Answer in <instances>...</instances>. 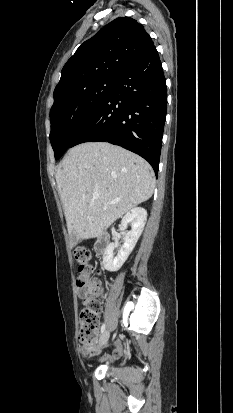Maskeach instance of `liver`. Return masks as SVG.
Listing matches in <instances>:
<instances>
[{"label":"liver","mask_w":233,"mask_h":413,"mask_svg":"<svg viewBox=\"0 0 233 413\" xmlns=\"http://www.w3.org/2000/svg\"><path fill=\"white\" fill-rule=\"evenodd\" d=\"M55 178L68 233L78 241L100 236L116 219L148 200L155 188L154 172L146 160L108 142L71 148ZM93 193L99 198L94 199Z\"/></svg>","instance_id":"6515ba94"}]
</instances>
